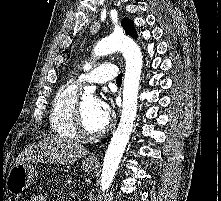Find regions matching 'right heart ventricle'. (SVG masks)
<instances>
[{
  "label": "right heart ventricle",
  "mask_w": 221,
  "mask_h": 201,
  "mask_svg": "<svg viewBox=\"0 0 221 201\" xmlns=\"http://www.w3.org/2000/svg\"><path fill=\"white\" fill-rule=\"evenodd\" d=\"M78 101L75 83L63 85L56 93L50 111V127L56 135L68 139L77 137L74 117Z\"/></svg>",
  "instance_id": "e07e8e85"
}]
</instances>
